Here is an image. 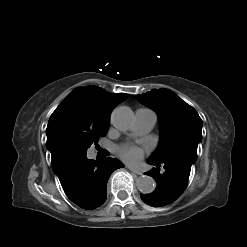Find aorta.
Here are the masks:
<instances>
[{
  "label": "aorta",
  "instance_id": "762f6f07",
  "mask_svg": "<svg viewBox=\"0 0 247 247\" xmlns=\"http://www.w3.org/2000/svg\"><path fill=\"white\" fill-rule=\"evenodd\" d=\"M111 120L117 129L125 131L133 125L134 114L130 108L120 106L112 112ZM136 186L143 194L152 193L155 189V181L152 177L143 175L136 180Z\"/></svg>",
  "mask_w": 247,
  "mask_h": 247
}]
</instances>
